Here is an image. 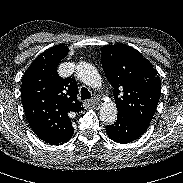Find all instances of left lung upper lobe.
<instances>
[{
    "label": "left lung upper lobe",
    "mask_w": 183,
    "mask_h": 183,
    "mask_svg": "<svg viewBox=\"0 0 183 183\" xmlns=\"http://www.w3.org/2000/svg\"><path fill=\"white\" fill-rule=\"evenodd\" d=\"M102 67L113 86L118 115L150 123L161 94L153 65L136 49L109 45L102 49Z\"/></svg>",
    "instance_id": "left-lung-upper-lobe-1"
}]
</instances>
